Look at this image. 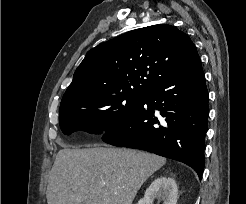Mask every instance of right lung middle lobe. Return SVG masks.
Instances as JSON below:
<instances>
[{
  "mask_svg": "<svg viewBox=\"0 0 246 204\" xmlns=\"http://www.w3.org/2000/svg\"><path fill=\"white\" fill-rule=\"evenodd\" d=\"M142 93H117L82 99L59 110V123L64 134L83 130L104 135L122 125L133 112Z\"/></svg>",
  "mask_w": 246,
  "mask_h": 204,
  "instance_id": "dd1d6c3e",
  "label": "right lung middle lobe"
}]
</instances>
